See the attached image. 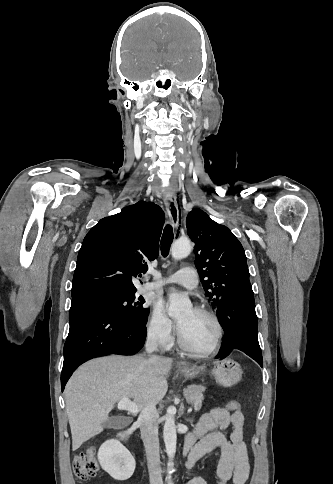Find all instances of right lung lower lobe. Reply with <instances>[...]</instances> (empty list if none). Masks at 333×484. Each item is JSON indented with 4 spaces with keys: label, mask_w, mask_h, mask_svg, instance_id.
I'll return each instance as SVG.
<instances>
[{
    "label": "right lung lower lobe",
    "mask_w": 333,
    "mask_h": 484,
    "mask_svg": "<svg viewBox=\"0 0 333 484\" xmlns=\"http://www.w3.org/2000/svg\"><path fill=\"white\" fill-rule=\"evenodd\" d=\"M70 329L64 345L62 390L71 374L83 362L109 354L132 355L144 345L147 329L114 311L95 293L72 297Z\"/></svg>",
    "instance_id": "right-lung-lower-lobe-1"
}]
</instances>
